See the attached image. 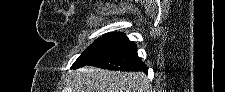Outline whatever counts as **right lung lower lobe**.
Masks as SVG:
<instances>
[{
    "label": "right lung lower lobe",
    "instance_id": "right-lung-lower-lobe-1",
    "mask_svg": "<svg viewBox=\"0 0 225 92\" xmlns=\"http://www.w3.org/2000/svg\"><path fill=\"white\" fill-rule=\"evenodd\" d=\"M88 65L110 70L143 71L145 73L148 71L147 66L138 57L134 43L108 53Z\"/></svg>",
    "mask_w": 225,
    "mask_h": 92
}]
</instances>
